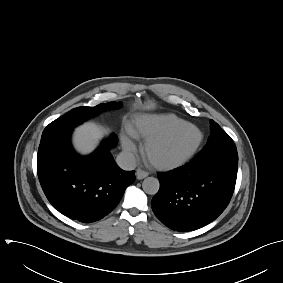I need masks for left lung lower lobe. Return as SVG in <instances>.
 Listing matches in <instances>:
<instances>
[{
	"label": "left lung lower lobe",
	"mask_w": 283,
	"mask_h": 283,
	"mask_svg": "<svg viewBox=\"0 0 283 283\" xmlns=\"http://www.w3.org/2000/svg\"><path fill=\"white\" fill-rule=\"evenodd\" d=\"M237 167L192 163L160 173V189L151 206L156 217L176 231H193L214 221L227 207Z\"/></svg>",
	"instance_id": "1"
}]
</instances>
